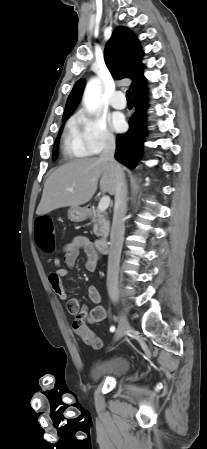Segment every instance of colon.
<instances>
[{
    "label": "colon",
    "instance_id": "5ec220e1",
    "mask_svg": "<svg viewBox=\"0 0 207 449\" xmlns=\"http://www.w3.org/2000/svg\"><path fill=\"white\" fill-rule=\"evenodd\" d=\"M35 238L39 249L45 253L53 252L55 248V239L53 233V224L49 217L40 216L36 219ZM74 332L80 336L83 341L94 349H101L102 340L96 336L86 326L83 320L77 318L72 323Z\"/></svg>",
    "mask_w": 207,
    "mask_h": 449
}]
</instances>
